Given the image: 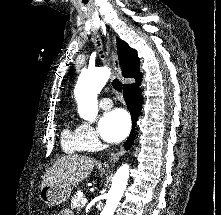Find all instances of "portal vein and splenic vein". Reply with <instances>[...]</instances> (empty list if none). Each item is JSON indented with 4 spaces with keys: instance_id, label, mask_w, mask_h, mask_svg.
I'll return each instance as SVG.
<instances>
[{
    "instance_id": "1",
    "label": "portal vein and splenic vein",
    "mask_w": 221,
    "mask_h": 215,
    "mask_svg": "<svg viewBox=\"0 0 221 215\" xmlns=\"http://www.w3.org/2000/svg\"><path fill=\"white\" fill-rule=\"evenodd\" d=\"M88 202V199L87 198H82L81 199V204H86Z\"/></svg>"
}]
</instances>
